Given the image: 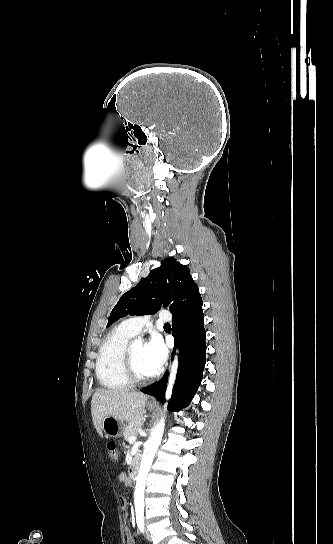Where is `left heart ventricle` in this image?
I'll list each match as a JSON object with an SVG mask.
<instances>
[{
    "label": "left heart ventricle",
    "mask_w": 333,
    "mask_h": 544,
    "mask_svg": "<svg viewBox=\"0 0 333 544\" xmlns=\"http://www.w3.org/2000/svg\"><path fill=\"white\" fill-rule=\"evenodd\" d=\"M133 361L137 373L142 376H150L155 372L150 368L145 357V345L142 343H134L131 346Z\"/></svg>",
    "instance_id": "left-heart-ventricle-1"
}]
</instances>
